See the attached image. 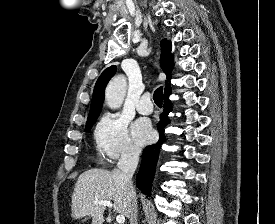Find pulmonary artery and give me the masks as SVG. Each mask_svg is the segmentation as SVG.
Listing matches in <instances>:
<instances>
[{"label":"pulmonary artery","mask_w":275,"mask_h":224,"mask_svg":"<svg viewBox=\"0 0 275 224\" xmlns=\"http://www.w3.org/2000/svg\"><path fill=\"white\" fill-rule=\"evenodd\" d=\"M136 108L141 114H151L153 111V104L151 102L149 94H144L136 105Z\"/></svg>","instance_id":"obj_1"}]
</instances>
